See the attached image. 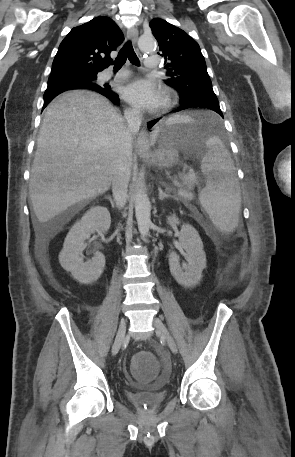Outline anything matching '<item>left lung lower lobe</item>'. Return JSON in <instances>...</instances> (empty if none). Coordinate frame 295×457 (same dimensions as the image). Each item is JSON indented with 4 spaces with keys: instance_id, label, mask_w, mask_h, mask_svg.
I'll list each match as a JSON object with an SVG mask.
<instances>
[{
    "instance_id": "0a47b994",
    "label": "left lung lower lobe",
    "mask_w": 295,
    "mask_h": 457,
    "mask_svg": "<svg viewBox=\"0 0 295 457\" xmlns=\"http://www.w3.org/2000/svg\"><path fill=\"white\" fill-rule=\"evenodd\" d=\"M190 107H205V108H209V109L217 112L221 117H223L222 111L220 110V107H219L218 99H217V97H214V96H205V97H202V98L191 99V100H189L187 102L182 103V106L178 110H174V112L175 111H179V110H183V109H187V108H190ZM158 121H159V119H156V120H153V121L149 122L148 123V127L151 128Z\"/></svg>"
}]
</instances>
